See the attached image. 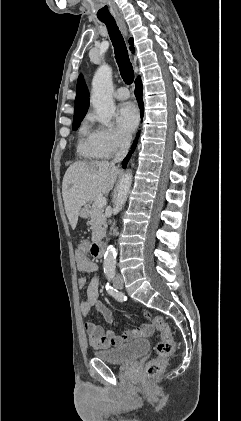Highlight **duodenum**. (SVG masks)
Listing matches in <instances>:
<instances>
[{
  "instance_id": "obj_1",
  "label": "duodenum",
  "mask_w": 241,
  "mask_h": 421,
  "mask_svg": "<svg viewBox=\"0 0 241 421\" xmlns=\"http://www.w3.org/2000/svg\"><path fill=\"white\" fill-rule=\"evenodd\" d=\"M91 253L96 257H101L105 251V244L103 239L97 238L91 244Z\"/></svg>"
}]
</instances>
